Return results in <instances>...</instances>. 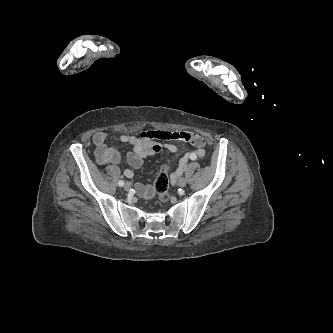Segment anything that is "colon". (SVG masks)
I'll use <instances>...</instances> for the list:
<instances>
[{
    "mask_svg": "<svg viewBox=\"0 0 333 333\" xmlns=\"http://www.w3.org/2000/svg\"><path fill=\"white\" fill-rule=\"evenodd\" d=\"M171 169V163L166 162L161 165L160 171L154 181V190L161 203H167L170 200L169 188V170Z\"/></svg>",
    "mask_w": 333,
    "mask_h": 333,
    "instance_id": "5ec220e1",
    "label": "colon"
}]
</instances>
